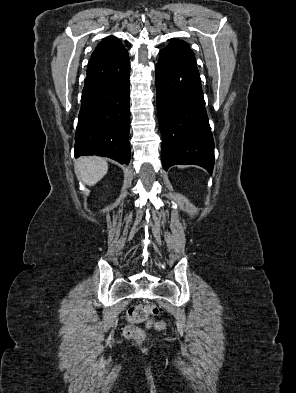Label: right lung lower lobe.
<instances>
[{"label": "right lung lower lobe", "mask_w": 296, "mask_h": 393, "mask_svg": "<svg viewBox=\"0 0 296 393\" xmlns=\"http://www.w3.org/2000/svg\"><path fill=\"white\" fill-rule=\"evenodd\" d=\"M130 62L124 47L92 53L75 134V157L105 156L128 164Z\"/></svg>", "instance_id": "obj_1"}]
</instances>
